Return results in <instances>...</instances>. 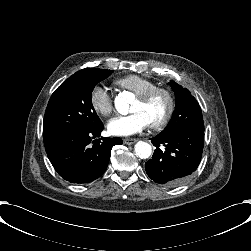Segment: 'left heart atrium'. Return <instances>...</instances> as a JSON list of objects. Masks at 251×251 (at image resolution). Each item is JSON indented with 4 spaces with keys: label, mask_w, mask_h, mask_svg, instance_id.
<instances>
[{
    "label": "left heart atrium",
    "mask_w": 251,
    "mask_h": 251,
    "mask_svg": "<svg viewBox=\"0 0 251 251\" xmlns=\"http://www.w3.org/2000/svg\"><path fill=\"white\" fill-rule=\"evenodd\" d=\"M151 121L142 110H135L130 114L117 115L110 119L107 129L116 136H130L136 134L150 125Z\"/></svg>",
    "instance_id": "obj_1"
}]
</instances>
